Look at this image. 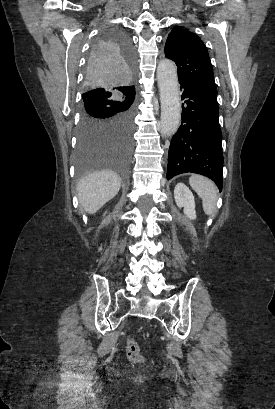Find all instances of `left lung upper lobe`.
<instances>
[{
  "mask_svg": "<svg viewBox=\"0 0 275 409\" xmlns=\"http://www.w3.org/2000/svg\"><path fill=\"white\" fill-rule=\"evenodd\" d=\"M165 56L176 63L179 81L192 82L217 93L208 51L196 34L182 28L172 29Z\"/></svg>",
  "mask_w": 275,
  "mask_h": 409,
  "instance_id": "1",
  "label": "left lung upper lobe"
}]
</instances>
